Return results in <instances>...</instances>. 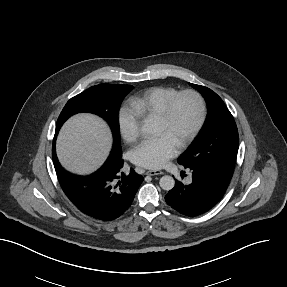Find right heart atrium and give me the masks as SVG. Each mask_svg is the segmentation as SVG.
I'll list each match as a JSON object with an SVG mask.
<instances>
[{
    "instance_id": "1",
    "label": "right heart atrium",
    "mask_w": 287,
    "mask_h": 287,
    "mask_svg": "<svg viewBox=\"0 0 287 287\" xmlns=\"http://www.w3.org/2000/svg\"><path fill=\"white\" fill-rule=\"evenodd\" d=\"M118 124L122 138L128 142H135L141 134L139 117L128 107H122L118 113Z\"/></svg>"
}]
</instances>
